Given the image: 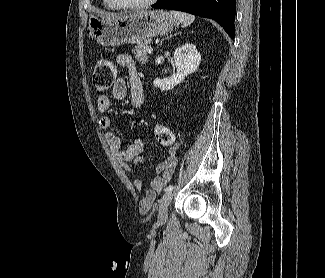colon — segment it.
<instances>
[{"instance_id":"1","label":"colon","mask_w":325,"mask_h":278,"mask_svg":"<svg viewBox=\"0 0 325 278\" xmlns=\"http://www.w3.org/2000/svg\"><path fill=\"white\" fill-rule=\"evenodd\" d=\"M115 79V69L113 64L101 58L97 60L94 66L92 77L93 87L98 91H106L111 88ZM154 135L157 141L164 145H171L174 142V135L171 129L163 124H156L154 127ZM148 204L143 206V210L147 211Z\"/></svg>"}]
</instances>
